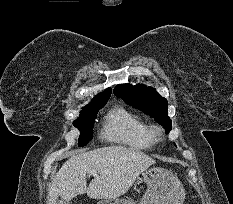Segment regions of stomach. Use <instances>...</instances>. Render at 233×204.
<instances>
[{"label":"stomach","mask_w":233,"mask_h":204,"mask_svg":"<svg viewBox=\"0 0 233 204\" xmlns=\"http://www.w3.org/2000/svg\"><path fill=\"white\" fill-rule=\"evenodd\" d=\"M140 180L147 189L139 204H183L185 191L182 183L172 172L152 167L143 170ZM98 204H136L129 199H106Z\"/></svg>","instance_id":"1"}]
</instances>
